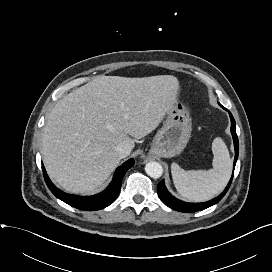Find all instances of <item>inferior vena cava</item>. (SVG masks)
<instances>
[{
    "instance_id": "obj_1",
    "label": "inferior vena cava",
    "mask_w": 272,
    "mask_h": 272,
    "mask_svg": "<svg viewBox=\"0 0 272 272\" xmlns=\"http://www.w3.org/2000/svg\"><path fill=\"white\" fill-rule=\"evenodd\" d=\"M115 150L121 158H125L131 153V146L126 142H121L115 147Z\"/></svg>"
}]
</instances>
